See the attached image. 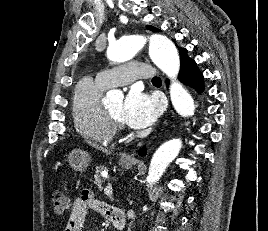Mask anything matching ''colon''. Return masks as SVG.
<instances>
[{"label":"colon","mask_w":268,"mask_h":231,"mask_svg":"<svg viewBox=\"0 0 268 231\" xmlns=\"http://www.w3.org/2000/svg\"><path fill=\"white\" fill-rule=\"evenodd\" d=\"M52 200L57 212L66 211L70 207V200L68 196L60 190H56L52 193Z\"/></svg>","instance_id":"colon-1"}]
</instances>
